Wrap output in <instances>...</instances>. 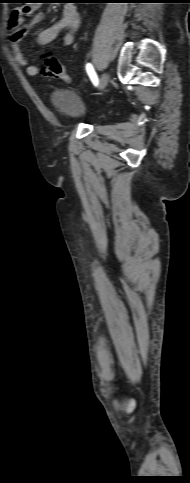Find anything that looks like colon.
Masks as SVG:
<instances>
[{
	"mask_svg": "<svg viewBox=\"0 0 190 483\" xmlns=\"http://www.w3.org/2000/svg\"><path fill=\"white\" fill-rule=\"evenodd\" d=\"M42 74L47 79H59L64 82L70 81V77L66 74L63 63L54 57L46 58L42 68Z\"/></svg>",
	"mask_w": 190,
	"mask_h": 483,
	"instance_id": "colon-1",
	"label": "colon"
}]
</instances>
